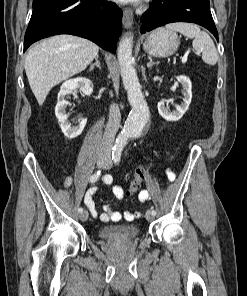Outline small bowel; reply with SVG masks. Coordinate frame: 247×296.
<instances>
[{"label":"small bowel","instance_id":"1","mask_svg":"<svg viewBox=\"0 0 247 296\" xmlns=\"http://www.w3.org/2000/svg\"><path fill=\"white\" fill-rule=\"evenodd\" d=\"M170 177H172V174H170ZM112 182H113V178L111 175H105L102 177V183L104 185H111ZM71 183H72L71 176H67L63 182V185L64 187H70ZM96 191H97L96 188H91L84 195V204L93 217L95 218L98 217L102 222H111V221L118 222L123 217L127 221H132L139 216V213L137 212H125L124 214H121L120 212L113 210V208L110 205H104L102 212H99L96 208V205L93 199V196L96 193ZM113 194L115 198L118 200L123 199L125 195L123 188L119 185L113 186ZM150 198H151V195L147 190H142L138 194V200L140 202H146L150 200Z\"/></svg>","mask_w":247,"mask_h":296}]
</instances>
